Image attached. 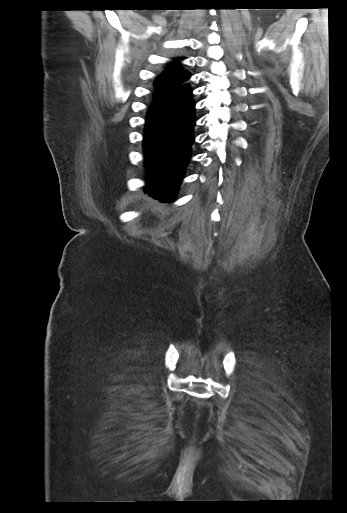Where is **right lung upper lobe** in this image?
I'll return each instance as SVG.
<instances>
[{"label":"right lung upper lobe","mask_w":347,"mask_h":513,"mask_svg":"<svg viewBox=\"0 0 347 513\" xmlns=\"http://www.w3.org/2000/svg\"><path fill=\"white\" fill-rule=\"evenodd\" d=\"M189 79L188 71L179 62L170 63L154 83L156 96H166L184 86Z\"/></svg>","instance_id":"right-lung-upper-lobe-1"}]
</instances>
